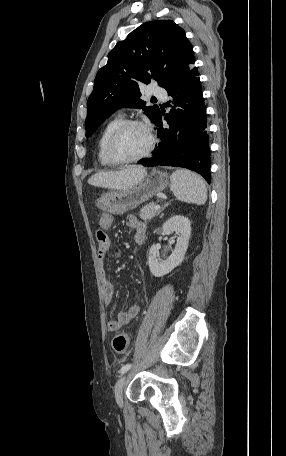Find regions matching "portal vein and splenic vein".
Returning <instances> with one entry per match:
<instances>
[{"label":"portal vein and splenic vein","mask_w":286,"mask_h":456,"mask_svg":"<svg viewBox=\"0 0 286 456\" xmlns=\"http://www.w3.org/2000/svg\"><path fill=\"white\" fill-rule=\"evenodd\" d=\"M154 209H155V210H159V209H160V205H156V206L154 207Z\"/></svg>","instance_id":"obj_1"}]
</instances>
